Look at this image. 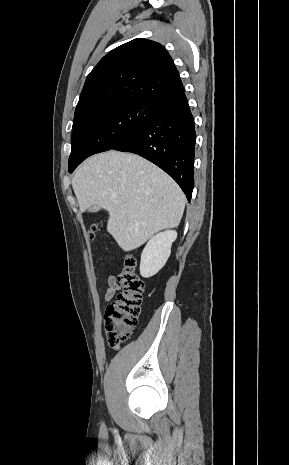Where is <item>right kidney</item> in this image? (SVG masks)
Wrapping results in <instances>:
<instances>
[{
  "label": "right kidney",
  "instance_id": "1",
  "mask_svg": "<svg viewBox=\"0 0 289 465\" xmlns=\"http://www.w3.org/2000/svg\"><path fill=\"white\" fill-rule=\"evenodd\" d=\"M177 238V232L167 230L153 236L141 254L140 274L144 278H149L158 273V271L167 262L172 243Z\"/></svg>",
  "mask_w": 289,
  "mask_h": 465
}]
</instances>
